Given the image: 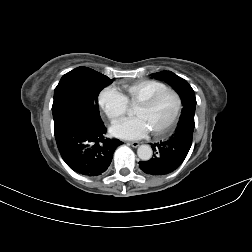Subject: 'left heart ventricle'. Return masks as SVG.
<instances>
[{
    "mask_svg": "<svg viewBox=\"0 0 252 252\" xmlns=\"http://www.w3.org/2000/svg\"><path fill=\"white\" fill-rule=\"evenodd\" d=\"M176 105L177 100L175 95L172 93H164L148 107L137 106L134 114L145 121L149 131H157L169 123L176 109Z\"/></svg>",
    "mask_w": 252,
    "mask_h": 252,
    "instance_id": "left-heart-ventricle-1",
    "label": "left heart ventricle"
}]
</instances>
